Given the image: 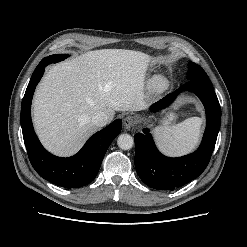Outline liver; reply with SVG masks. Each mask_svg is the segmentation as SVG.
<instances>
[{
	"label": "liver",
	"instance_id": "liver-1",
	"mask_svg": "<svg viewBox=\"0 0 247 247\" xmlns=\"http://www.w3.org/2000/svg\"><path fill=\"white\" fill-rule=\"evenodd\" d=\"M151 57L138 51H89L52 66L33 100V122L44 147L59 156L76 153L97 127L92 117L104 112L140 111Z\"/></svg>",
	"mask_w": 247,
	"mask_h": 247
}]
</instances>
